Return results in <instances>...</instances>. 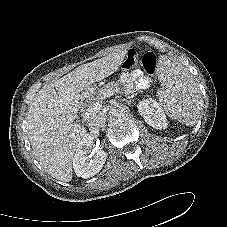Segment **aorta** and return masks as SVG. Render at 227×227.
<instances>
[{
    "instance_id": "1",
    "label": "aorta",
    "mask_w": 227,
    "mask_h": 227,
    "mask_svg": "<svg viewBox=\"0 0 227 227\" xmlns=\"http://www.w3.org/2000/svg\"><path fill=\"white\" fill-rule=\"evenodd\" d=\"M112 113L116 117H124L128 113V108L123 104H119L113 107Z\"/></svg>"
}]
</instances>
